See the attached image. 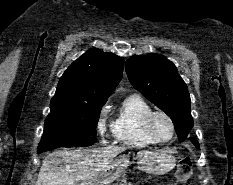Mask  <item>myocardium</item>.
<instances>
[{
  "label": "myocardium",
  "instance_id": "f54148a6",
  "mask_svg": "<svg viewBox=\"0 0 233 185\" xmlns=\"http://www.w3.org/2000/svg\"><path fill=\"white\" fill-rule=\"evenodd\" d=\"M157 116H163L164 118H166L171 126V136L168 139H160L156 136L154 130H153V121L155 119V117ZM144 128H145V132L148 135V137L154 141L155 143H160V144H164V143H168L170 142L176 133V128H175V123L172 119V117L162 111V110H153L151 111L145 118L144 120Z\"/></svg>",
  "mask_w": 233,
  "mask_h": 185
}]
</instances>
